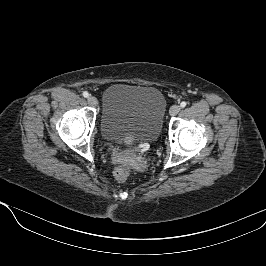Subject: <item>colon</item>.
<instances>
[{
	"label": "colon",
	"mask_w": 266,
	"mask_h": 266,
	"mask_svg": "<svg viewBox=\"0 0 266 266\" xmlns=\"http://www.w3.org/2000/svg\"><path fill=\"white\" fill-rule=\"evenodd\" d=\"M130 175V167L127 165H119L114 171V176L117 181L125 182Z\"/></svg>",
	"instance_id": "obj_1"
}]
</instances>
